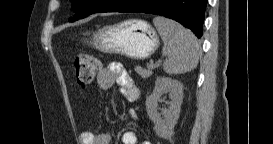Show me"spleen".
<instances>
[{
  "label": "spleen",
  "instance_id": "obj_1",
  "mask_svg": "<svg viewBox=\"0 0 273 144\" xmlns=\"http://www.w3.org/2000/svg\"><path fill=\"white\" fill-rule=\"evenodd\" d=\"M153 23L164 43L163 55H168L163 67L168 74H181L198 65L200 48L194 34L179 23L157 16Z\"/></svg>",
  "mask_w": 273,
  "mask_h": 144
}]
</instances>
